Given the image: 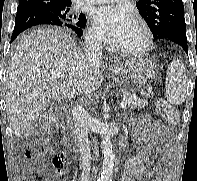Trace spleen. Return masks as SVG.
Masks as SVG:
<instances>
[{
	"label": "spleen",
	"mask_w": 197,
	"mask_h": 181,
	"mask_svg": "<svg viewBox=\"0 0 197 181\" xmlns=\"http://www.w3.org/2000/svg\"><path fill=\"white\" fill-rule=\"evenodd\" d=\"M187 75L184 64L175 58L167 69L165 80L166 98L173 105H180L186 100Z\"/></svg>",
	"instance_id": "1"
}]
</instances>
